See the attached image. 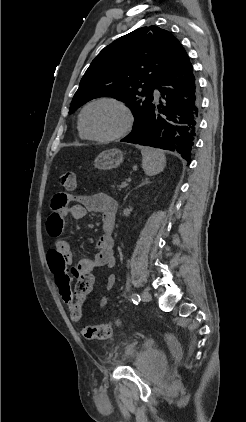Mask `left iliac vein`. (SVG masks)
<instances>
[{"mask_svg":"<svg viewBox=\"0 0 246 422\" xmlns=\"http://www.w3.org/2000/svg\"><path fill=\"white\" fill-rule=\"evenodd\" d=\"M141 298L144 302H149L152 299L151 294L146 290L142 291Z\"/></svg>","mask_w":246,"mask_h":422,"instance_id":"4c4485c4","label":"left iliac vein"}]
</instances>
